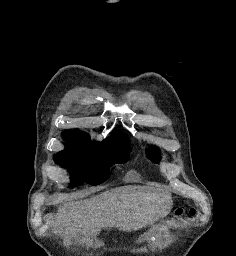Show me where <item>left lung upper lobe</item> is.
Returning a JSON list of instances; mask_svg holds the SVG:
<instances>
[{"label":"left lung upper lobe","instance_id":"left-lung-upper-lobe-1","mask_svg":"<svg viewBox=\"0 0 236 256\" xmlns=\"http://www.w3.org/2000/svg\"><path fill=\"white\" fill-rule=\"evenodd\" d=\"M146 155L148 159L151 160L152 162H159L160 151L157 147L150 146L149 149L146 151Z\"/></svg>","mask_w":236,"mask_h":256}]
</instances>
